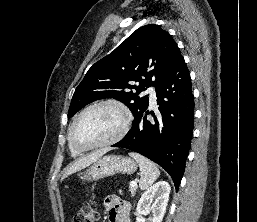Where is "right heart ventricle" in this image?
Segmentation results:
<instances>
[{
    "instance_id": "e07e8e85",
    "label": "right heart ventricle",
    "mask_w": 257,
    "mask_h": 222,
    "mask_svg": "<svg viewBox=\"0 0 257 222\" xmlns=\"http://www.w3.org/2000/svg\"><path fill=\"white\" fill-rule=\"evenodd\" d=\"M68 145H69V148H70V151L73 155H78L80 152L75 150L69 143V139H68Z\"/></svg>"
}]
</instances>
